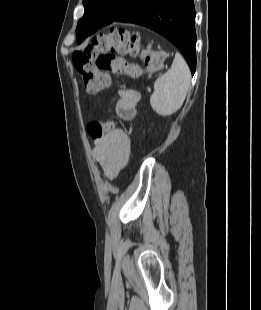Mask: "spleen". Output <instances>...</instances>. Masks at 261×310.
Here are the masks:
<instances>
[{
    "mask_svg": "<svg viewBox=\"0 0 261 310\" xmlns=\"http://www.w3.org/2000/svg\"><path fill=\"white\" fill-rule=\"evenodd\" d=\"M190 79L186 61L176 53L171 68L154 82V92L150 96L152 109L161 116L178 111L186 98Z\"/></svg>",
    "mask_w": 261,
    "mask_h": 310,
    "instance_id": "obj_1",
    "label": "spleen"
}]
</instances>
